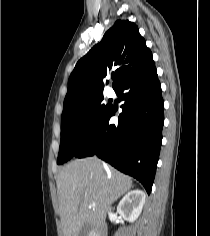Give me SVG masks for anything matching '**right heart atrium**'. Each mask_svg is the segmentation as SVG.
I'll return each mask as SVG.
<instances>
[{"label": "right heart atrium", "mask_w": 210, "mask_h": 236, "mask_svg": "<svg viewBox=\"0 0 210 236\" xmlns=\"http://www.w3.org/2000/svg\"><path fill=\"white\" fill-rule=\"evenodd\" d=\"M84 123H85L86 129L89 130L91 128V126H92V123H93V116H92V114L89 113V114H87L85 116Z\"/></svg>", "instance_id": "1"}]
</instances>
